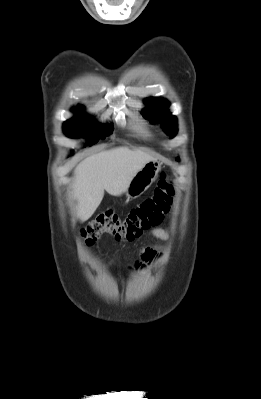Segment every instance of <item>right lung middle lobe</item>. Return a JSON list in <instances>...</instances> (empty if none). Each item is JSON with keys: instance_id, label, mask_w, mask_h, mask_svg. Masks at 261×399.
<instances>
[{"instance_id": "obj_1", "label": "right lung middle lobe", "mask_w": 261, "mask_h": 399, "mask_svg": "<svg viewBox=\"0 0 261 399\" xmlns=\"http://www.w3.org/2000/svg\"><path fill=\"white\" fill-rule=\"evenodd\" d=\"M83 110L82 107H78L76 117L67 120L64 123V133L71 138H78L86 136L88 140V145L91 146L95 144L100 138L104 139L106 136L110 135L113 131L111 126H97L95 127V121L88 116L80 114Z\"/></svg>"}]
</instances>
